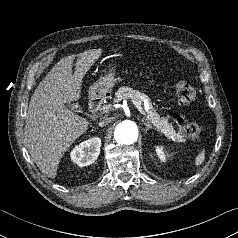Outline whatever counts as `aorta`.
Here are the masks:
<instances>
[{"instance_id": "obj_1", "label": "aorta", "mask_w": 238, "mask_h": 238, "mask_svg": "<svg viewBox=\"0 0 238 238\" xmlns=\"http://www.w3.org/2000/svg\"><path fill=\"white\" fill-rule=\"evenodd\" d=\"M114 137L120 144H133L138 139V127L135 122L124 120L116 127Z\"/></svg>"}]
</instances>
